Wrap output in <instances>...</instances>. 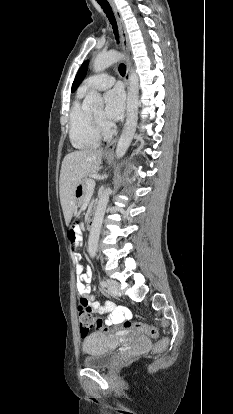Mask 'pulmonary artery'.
<instances>
[{
	"label": "pulmonary artery",
	"instance_id": "pulmonary-artery-1",
	"mask_svg": "<svg viewBox=\"0 0 233 414\" xmlns=\"http://www.w3.org/2000/svg\"><path fill=\"white\" fill-rule=\"evenodd\" d=\"M114 82L115 78L112 75L101 73L87 78L83 82L81 89L86 92L90 90H104L111 87Z\"/></svg>",
	"mask_w": 233,
	"mask_h": 414
}]
</instances>
